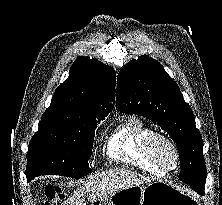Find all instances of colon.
Segmentation results:
<instances>
[{"mask_svg":"<svg viewBox=\"0 0 222 205\" xmlns=\"http://www.w3.org/2000/svg\"><path fill=\"white\" fill-rule=\"evenodd\" d=\"M62 197V190L58 186L50 185L45 189V195L42 200V205H56Z\"/></svg>","mask_w":222,"mask_h":205,"instance_id":"5ec220e1","label":"colon"}]
</instances>
